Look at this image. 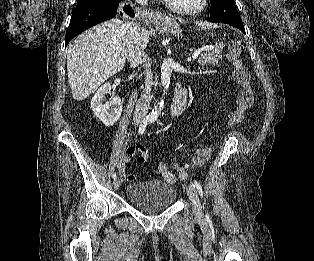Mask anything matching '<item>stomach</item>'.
<instances>
[{
	"label": "stomach",
	"instance_id": "obj_1",
	"mask_svg": "<svg viewBox=\"0 0 314 261\" xmlns=\"http://www.w3.org/2000/svg\"><path fill=\"white\" fill-rule=\"evenodd\" d=\"M169 30L172 31L175 35L181 36L180 28L175 22H172V25L169 27Z\"/></svg>",
	"mask_w": 314,
	"mask_h": 261
}]
</instances>
